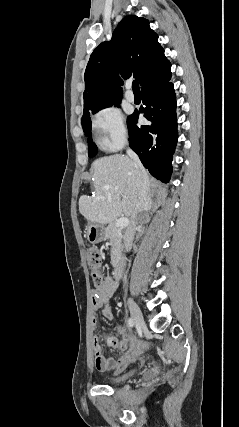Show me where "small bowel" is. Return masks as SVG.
<instances>
[{
  "mask_svg": "<svg viewBox=\"0 0 239 427\" xmlns=\"http://www.w3.org/2000/svg\"><path fill=\"white\" fill-rule=\"evenodd\" d=\"M117 288L118 280L105 277L101 284L92 290V308L94 310L102 309L103 317L106 320L113 319L109 299L115 294ZM92 326L94 329V365L99 371L119 373L133 363L147 347V343L139 340L134 334L128 333L125 328L117 326L120 338L110 337L107 343L110 347L121 351L122 354L117 359L108 357L103 353L100 344L99 322L96 317L92 319Z\"/></svg>",
  "mask_w": 239,
  "mask_h": 427,
  "instance_id": "c3829d8e",
  "label": "small bowel"
}]
</instances>
